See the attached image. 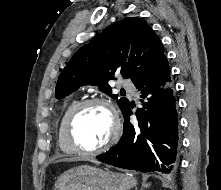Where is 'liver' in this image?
I'll return each mask as SVG.
<instances>
[{
  "label": "liver",
  "instance_id": "obj_1",
  "mask_svg": "<svg viewBox=\"0 0 221 190\" xmlns=\"http://www.w3.org/2000/svg\"><path fill=\"white\" fill-rule=\"evenodd\" d=\"M91 161V162H94V163H99L98 161L92 159V158H89V157H71V158H65V159H61L59 160L58 162H75V161Z\"/></svg>",
  "mask_w": 221,
  "mask_h": 190
}]
</instances>
